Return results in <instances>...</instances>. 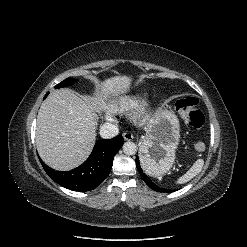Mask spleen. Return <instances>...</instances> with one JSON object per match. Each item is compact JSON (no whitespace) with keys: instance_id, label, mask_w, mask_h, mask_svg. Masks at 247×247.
I'll return each mask as SVG.
<instances>
[{"instance_id":"obj_1","label":"spleen","mask_w":247,"mask_h":247,"mask_svg":"<svg viewBox=\"0 0 247 247\" xmlns=\"http://www.w3.org/2000/svg\"><path fill=\"white\" fill-rule=\"evenodd\" d=\"M203 165H204V161L202 159H198L193 164V166L177 180V183L183 184L194 178L197 174L200 173Z\"/></svg>"}]
</instances>
